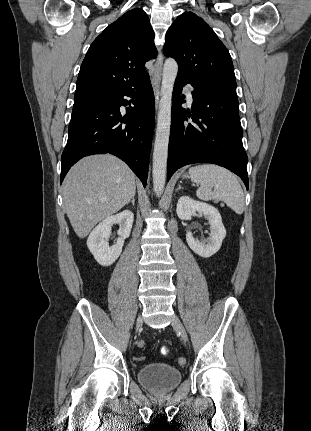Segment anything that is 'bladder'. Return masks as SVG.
Masks as SVG:
<instances>
[{"instance_id": "bladder-1", "label": "bladder", "mask_w": 311, "mask_h": 431, "mask_svg": "<svg viewBox=\"0 0 311 431\" xmlns=\"http://www.w3.org/2000/svg\"><path fill=\"white\" fill-rule=\"evenodd\" d=\"M138 382L154 393H167L182 380V372L166 363H150L137 371Z\"/></svg>"}]
</instances>
